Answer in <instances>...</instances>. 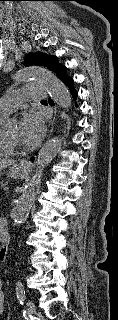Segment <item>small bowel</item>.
<instances>
[{
  "label": "small bowel",
  "mask_w": 118,
  "mask_h": 320,
  "mask_svg": "<svg viewBox=\"0 0 118 320\" xmlns=\"http://www.w3.org/2000/svg\"><path fill=\"white\" fill-rule=\"evenodd\" d=\"M2 288H3V283L0 279V315L3 314L5 309V296L3 294Z\"/></svg>",
  "instance_id": "1"
}]
</instances>
